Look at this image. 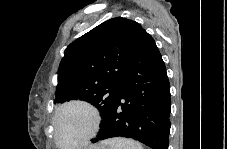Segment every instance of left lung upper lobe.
Masks as SVG:
<instances>
[{
  "mask_svg": "<svg viewBox=\"0 0 227 149\" xmlns=\"http://www.w3.org/2000/svg\"><path fill=\"white\" fill-rule=\"evenodd\" d=\"M143 30L133 20L116 17L71 43L59 65L54 103L81 99L104 118L121 90Z\"/></svg>",
  "mask_w": 227,
  "mask_h": 149,
  "instance_id": "left-lung-upper-lobe-1",
  "label": "left lung upper lobe"
}]
</instances>
